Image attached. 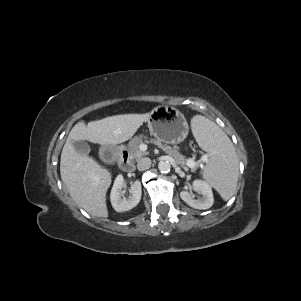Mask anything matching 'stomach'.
Masks as SVG:
<instances>
[{"mask_svg":"<svg viewBox=\"0 0 301 301\" xmlns=\"http://www.w3.org/2000/svg\"><path fill=\"white\" fill-rule=\"evenodd\" d=\"M150 134L160 142L177 144L188 135L189 126L184 115L168 106L154 108L147 119Z\"/></svg>","mask_w":301,"mask_h":301,"instance_id":"stomach-1","label":"stomach"}]
</instances>
